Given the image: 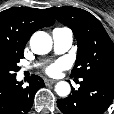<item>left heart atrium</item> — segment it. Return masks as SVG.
Instances as JSON below:
<instances>
[{
	"label": "left heart atrium",
	"mask_w": 114,
	"mask_h": 114,
	"mask_svg": "<svg viewBox=\"0 0 114 114\" xmlns=\"http://www.w3.org/2000/svg\"><path fill=\"white\" fill-rule=\"evenodd\" d=\"M69 66L67 60H59L56 63L50 65L47 69L46 72L47 74L51 76H58L64 69H66Z\"/></svg>",
	"instance_id": "left-heart-atrium-1"
}]
</instances>
